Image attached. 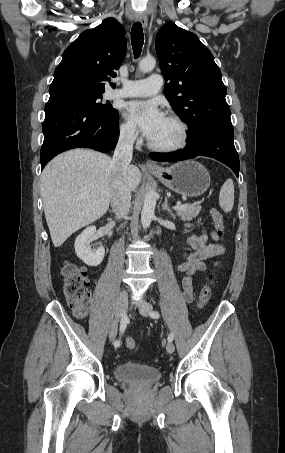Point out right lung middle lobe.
Instances as JSON below:
<instances>
[{
	"mask_svg": "<svg viewBox=\"0 0 285 453\" xmlns=\"http://www.w3.org/2000/svg\"><path fill=\"white\" fill-rule=\"evenodd\" d=\"M66 95L78 100L82 105L89 109L93 114L104 118H110L118 114V111L114 109L110 103L102 104L100 99L102 93H90V92H69Z\"/></svg>",
	"mask_w": 285,
	"mask_h": 453,
	"instance_id": "right-lung-middle-lobe-1",
	"label": "right lung middle lobe"
}]
</instances>
